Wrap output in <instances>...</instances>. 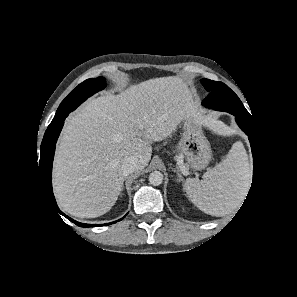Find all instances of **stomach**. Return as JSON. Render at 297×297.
Returning <instances> with one entry per match:
<instances>
[{"label": "stomach", "instance_id": "0dacf381", "mask_svg": "<svg viewBox=\"0 0 297 297\" xmlns=\"http://www.w3.org/2000/svg\"><path fill=\"white\" fill-rule=\"evenodd\" d=\"M212 158L210 144L202 126L195 120H185L182 138L175 149V159L189 170L204 169Z\"/></svg>", "mask_w": 297, "mask_h": 297}]
</instances>
